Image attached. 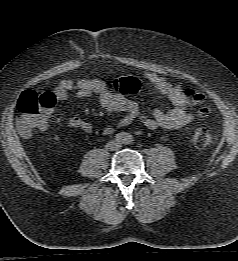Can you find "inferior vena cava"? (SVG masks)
<instances>
[{
	"mask_svg": "<svg viewBox=\"0 0 238 261\" xmlns=\"http://www.w3.org/2000/svg\"><path fill=\"white\" fill-rule=\"evenodd\" d=\"M121 147V144L119 142H112V144L109 146L108 149L110 150H117Z\"/></svg>",
	"mask_w": 238,
	"mask_h": 261,
	"instance_id": "inferior-vena-cava-1",
	"label": "inferior vena cava"
}]
</instances>
